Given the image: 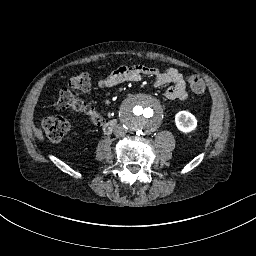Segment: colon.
Masks as SVG:
<instances>
[{
	"label": "colon",
	"instance_id": "5ec220e1",
	"mask_svg": "<svg viewBox=\"0 0 256 256\" xmlns=\"http://www.w3.org/2000/svg\"><path fill=\"white\" fill-rule=\"evenodd\" d=\"M186 81L190 89L195 94H202L205 90L204 80L200 74L189 73ZM92 87V76L88 73H81L73 76L69 81V87L60 89L56 107L59 110H71L87 116L94 125L100 123V118L95 115L91 105L77 97L75 91H88ZM44 132L48 140L52 143H60L70 129V122L61 117H47L42 123Z\"/></svg>",
	"mask_w": 256,
	"mask_h": 256
}]
</instances>
